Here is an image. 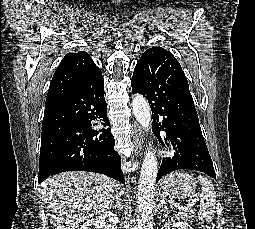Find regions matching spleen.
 <instances>
[{
    "instance_id": "spleen-1",
    "label": "spleen",
    "mask_w": 255,
    "mask_h": 229,
    "mask_svg": "<svg viewBox=\"0 0 255 229\" xmlns=\"http://www.w3.org/2000/svg\"><path fill=\"white\" fill-rule=\"evenodd\" d=\"M198 180L201 184L200 194V210L198 212L199 220L210 222L213 220L215 214L216 194L215 189L211 181L205 176H198Z\"/></svg>"
}]
</instances>
